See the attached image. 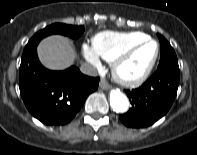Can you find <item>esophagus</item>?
<instances>
[{
  "mask_svg": "<svg viewBox=\"0 0 197 155\" xmlns=\"http://www.w3.org/2000/svg\"><path fill=\"white\" fill-rule=\"evenodd\" d=\"M99 87L103 90H107L110 86L105 79H101V81L99 82Z\"/></svg>",
  "mask_w": 197,
  "mask_h": 155,
  "instance_id": "1",
  "label": "esophagus"
}]
</instances>
